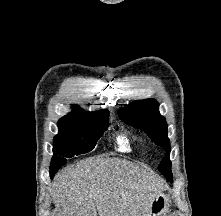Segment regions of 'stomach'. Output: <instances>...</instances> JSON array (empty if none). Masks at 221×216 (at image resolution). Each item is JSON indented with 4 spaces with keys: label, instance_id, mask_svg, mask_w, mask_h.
I'll list each match as a JSON object with an SVG mask.
<instances>
[{
    "label": "stomach",
    "instance_id": "0dacf381",
    "mask_svg": "<svg viewBox=\"0 0 221 216\" xmlns=\"http://www.w3.org/2000/svg\"><path fill=\"white\" fill-rule=\"evenodd\" d=\"M168 207V197L163 193H159L154 197L146 216H165Z\"/></svg>",
    "mask_w": 221,
    "mask_h": 216
}]
</instances>
